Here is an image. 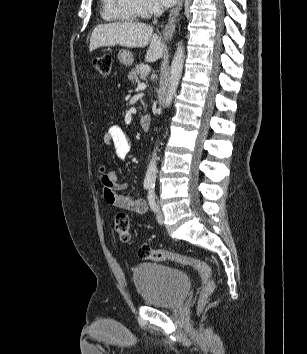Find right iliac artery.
Wrapping results in <instances>:
<instances>
[{
    "label": "right iliac artery",
    "mask_w": 307,
    "mask_h": 354,
    "mask_svg": "<svg viewBox=\"0 0 307 354\" xmlns=\"http://www.w3.org/2000/svg\"><path fill=\"white\" fill-rule=\"evenodd\" d=\"M144 188H145V189H148V188H150V185H149V184H145V185H144Z\"/></svg>",
    "instance_id": "1"
}]
</instances>
